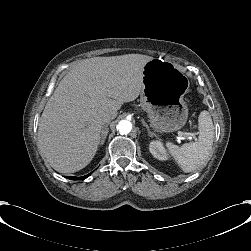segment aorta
I'll return each instance as SVG.
<instances>
[{"mask_svg": "<svg viewBox=\"0 0 251 251\" xmlns=\"http://www.w3.org/2000/svg\"><path fill=\"white\" fill-rule=\"evenodd\" d=\"M132 129V123L128 120H121L117 125V130L122 135L128 134Z\"/></svg>", "mask_w": 251, "mask_h": 251, "instance_id": "762f6f07", "label": "aorta"}]
</instances>
